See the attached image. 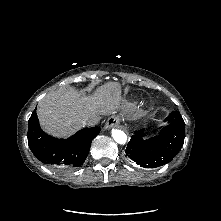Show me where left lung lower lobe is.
<instances>
[{"label": "left lung lower lobe", "instance_id": "obj_1", "mask_svg": "<svg viewBox=\"0 0 221 221\" xmlns=\"http://www.w3.org/2000/svg\"><path fill=\"white\" fill-rule=\"evenodd\" d=\"M165 121L169 124L154 138H146L143 130L135 131L125 151L128 158L144 168L169 163L183 146L185 123L178 111H173Z\"/></svg>", "mask_w": 221, "mask_h": 221}]
</instances>
